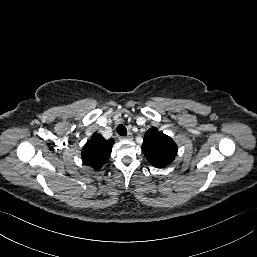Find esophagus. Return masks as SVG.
Instances as JSON below:
<instances>
[{"instance_id":"obj_1","label":"esophagus","mask_w":257,"mask_h":257,"mask_svg":"<svg viewBox=\"0 0 257 257\" xmlns=\"http://www.w3.org/2000/svg\"><path fill=\"white\" fill-rule=\"evenodd\" d=\"M123 139L132 140L133 139V135L131 133H129L127 136L123 137Z\"/></svg>"}]
</instances>
